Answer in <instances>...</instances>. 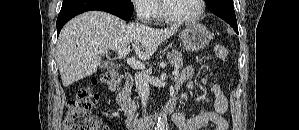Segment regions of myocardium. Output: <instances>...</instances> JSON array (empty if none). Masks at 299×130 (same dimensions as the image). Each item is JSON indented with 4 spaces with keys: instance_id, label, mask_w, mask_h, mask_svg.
I'll return each mask as SVG.
<instances>
[{
    "instance_id": "1",
    "label": "myocardium",
    "mask_w": 299,
    "mask_h": 130,
    "mask_svg": "<svg viewBox=\"0 0 299 130\" xmlns=\"http://www.w3.org/2000/svg\"><path fill=\"white\" fill-rule=\"evenodd\" d=\"M170 0H163L162 1V11H163V16L164 18L172 23H177V24H189L196 22L199 20V18L202 16L204 12V0H197V11L191 15V16H186V17H176L170 14L168 10V3Z\"/></svg>"
}]
</instances>
